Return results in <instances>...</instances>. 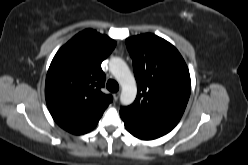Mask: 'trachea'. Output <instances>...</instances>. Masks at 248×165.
Segmentation results:
<instances>
[{
	"mask_svg": "<svg viewBox=\"0 0 248 165\" xmlns=\"http://www.w3.org/2000/svg\"><path fill=\"white\" fill-rule=\"evenodd\" d=\"M106 87L111 92H117L119 90V85L114 80H108Z\"/></svg>",
	"mask_w": 248,
	"mask_h": 165,
	"instance_id": "3493384b",
	"label": "trachea"
}]
</instances>
